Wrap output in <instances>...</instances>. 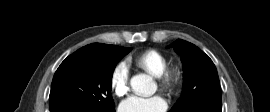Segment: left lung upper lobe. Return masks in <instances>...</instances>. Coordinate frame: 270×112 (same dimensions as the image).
<instances>
[{"mask_svg":"<svg viewBox=\"0 0 270 112\" xmlns=\"http://www.w3.org/2000/svg\"><path fill=\"white\" fill-rule=\"evenodd\" d=\"M169 47L181 55L184 69L182 95L170 112H188L195 107L222 111L221 88L212 60L197 46L181 39Z\"/></svg>","mask_w":270,"mask_h":112,"instance_id":"obj_1","label":"left lung upper lobe"}]
</instances>
